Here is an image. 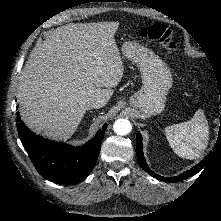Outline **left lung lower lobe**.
<instances>
[{"mask_svg": "<svg viewBox=\"0 0 221 221\" xmlns=\"http://www.w3.org/2000/svg\"><path fill=\"white\" fill-rule=\"evenodd\" d=\"M220 120H221V118H220ZM217 140L219 141L220 139L217 138ZM136 156H137L138 162H139L140 166L143 168V170H145L147 173H149L153 177H155L163 182H169V183L184 180L186 178H189V177L195 175L196 173H198L200 170L203 169V167L206 164L207 158H208V157L204 158L203 161H201L198 165L193 167L191 170L186 171L183 174H180L176 177H162L149 169V167L145 161V158L143 156L142 136L139 132L137 133Z\"/></svg>", "mask_w": 221, "mask_h": 221, "instance_id": "1", "label": "left lung lower lobe"}]
</instances>
